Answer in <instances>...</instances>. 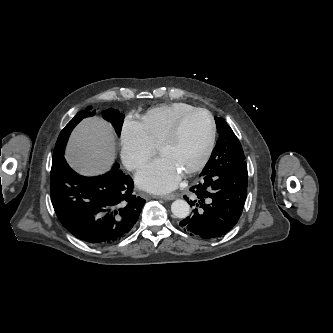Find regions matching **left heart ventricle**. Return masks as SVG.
<instances>
[{"label":"left heart ventricle","mask_w":333,"mask_h":333,"mask_svg":"<svg viewBox=\"0 0 333 333\" xmlns=\"http://www.w3.org/2000/svg\"><path fill=\"white\" fill-rule=\"evenodd\" d=\"M209 133L208 116L205 113H195L185 120L177 139L163 147L160 154L184 173L199 161L207 145Z\"/></svg>","instance_id":"left-heart-ventricle-1"}]
</instances>
